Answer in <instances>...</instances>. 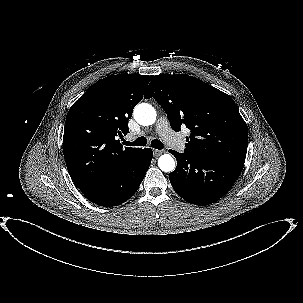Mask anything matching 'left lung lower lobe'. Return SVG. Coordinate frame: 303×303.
Wrapping results in <instances>:
<instances>
[{
  "label": "left lung lower lobe",
  "mask_w": 303,
  "mask_h": 303,
  "mask_svg": "<svg viewBox=\"0 0 303 303\" xmlns=\"http://www.w3.org/2000/svg\"><path fill=\"white\" fill-rule=\"evenodd\" d=\"M177 160L169 173L175 192L195 205H208L223 197L240 175L244 161L224 157L196 156L170 151Z\"/></svg>",
  "instance_id": "0a47b994"
}]
</instances>
